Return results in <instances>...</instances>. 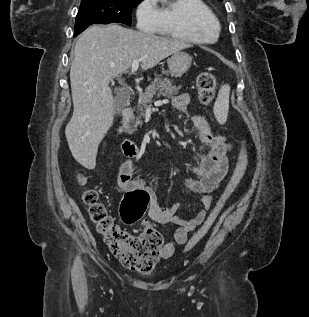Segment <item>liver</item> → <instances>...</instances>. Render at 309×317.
<instances>
[{
    "label": "liver",
    "instance_id": "1",
    "mask_svg": "<svg viewBox=\"0 0 309 317\" xmlns=\"http://www.w3.org/2000/svg\"><path fill=\"white\" fill-rule=\"evenodd\" d=\"M191 47L172 39L124 28L117 24L93 25L78 38L70 69L73 116L65 129L69 149L87 169L96 165L98 146L114 121L109 82L141 59L142 70Z\"/></svg>",
    "mask_w": 309,
    "mask_h": 317
}]
</instances>
